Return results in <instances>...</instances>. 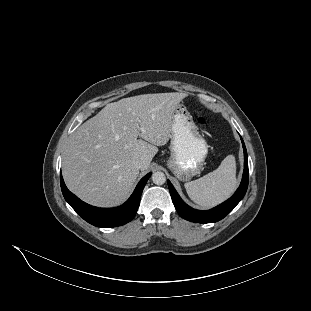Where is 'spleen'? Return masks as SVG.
Returning a JSON list of instances; mask_svg holds the SVG:
<instances>
[{"instance_id": "obj_1", "label": "spleen", "mask_w": 311, "mask_h": 311, "mask_svg": "<svg viewBox=\"0 0 311 311\" xmlns=\"http://www.w3.org/2000/svg\"><path fill=\"white\" fill-rule=\"evenodd\" d=\"M236 186V161L233 155L226 156L216 170L184 184L190 199L204 208L213 207L229 198Z\"/></svg>"}]
</instances>
